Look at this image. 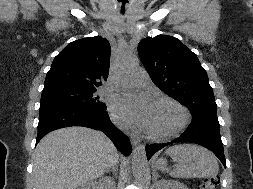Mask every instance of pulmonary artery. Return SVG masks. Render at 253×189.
I'll return each instance as SVG.
<instances>
[{
  "label": "pulmonary artery",
  "instance_id": "1",
  "mask_svg": "<svg viewBox=\"0 0 253 189\" xmlns=\"http://www.w3.org/2000/svg\"><path fill=\"white\" fill-rule=\"evenodd\" d=\"M126 82L140 86H147L149 84L148 77L143 72H134L129 77L126 78Z\"/></svg>",
  "mask_w": 253,
  "mask_h": 189
}]
</instances>
